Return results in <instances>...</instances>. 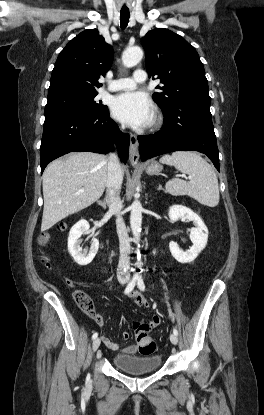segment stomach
<instances>
[{
    "label": "stomach",
    "mask_w": 264,
    "mask_h": 415,
    "mask_svg": "<svg viewBox=\"0 0 264 415\" xmlns=\"http://www.w3.org/2000/svg\"><path fill=\"white\" fill-rule=\"evenodd\" d=\"M162 169H163L162 165L156 161H150L145 166V170L148 175H156L160 173Z\"/></svg>",
    "instance_id": "stomach-1"
}]
</instances>
